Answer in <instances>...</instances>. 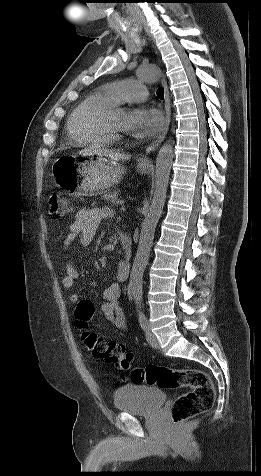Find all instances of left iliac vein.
<instances>
[{
	"label": "left iliac vein",
	"mask_w": 261,
	"mask_h": 476,
	"mask_svg": "<svg viewBox=\"0 0 261 476\" xmlns=\"http://www.w3.org/2000/svg\"><path fill=\"white\" fill-rule=\"evenodd\" d=\"M145 335L147 342L149 345L153 348H159L160 344L159 341L156 337V335L151 331L150 325L148 324L146 329H145Z\"/></svg>",
	"instance_id": "left-iliac-vein-1"
}]
</instances>
